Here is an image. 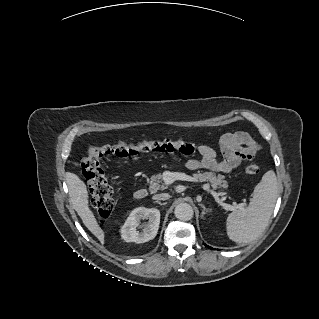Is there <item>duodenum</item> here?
I'll use <instances>...</instances> for the list:
<instances>
[{
	"label": "duodenum",
	"instance_id": "410a0bca",
	"mask_svg": "<svg viewBox=\"0 0 319 319\" xmlns=\"http://www.w3.org/2000/svg\"><path fill=\"white\" fill-rule=\"evenodd\" d=\"M148 196V191L145 188H139L134 192V198L136 200H143Z\"/></svg>",
	"mask_w": 319,
	"mask_h": 319
}]
</instances>
